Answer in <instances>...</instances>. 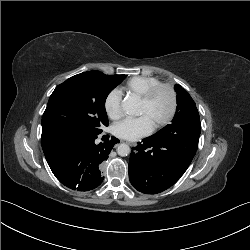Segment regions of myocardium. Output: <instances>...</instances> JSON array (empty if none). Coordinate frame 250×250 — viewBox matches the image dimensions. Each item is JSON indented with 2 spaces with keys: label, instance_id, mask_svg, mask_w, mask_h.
Returning a JSON list of instances; mask_svg holds the SVG:
<instances>
[{
  "label": "myocardium",
  "instance_id": "1",
  "mask_svg": "<svg viewBox=\"0 0 250 250\" xmlns=\"http://www.w3.org/2000/svg\"><path fill=\"white\" fill-rule=\"evenodd\" d=\"M166 91L170 98V109L167 116L153 125L155 130L161 129L169 125L174 119L177 108H178V98L177 93L173 86L165 83H160L152 88H150L146 93L140 97V101L144 104H149L153 98L160 92Z\"/></svg>",
  "mask_w": 250,
  "mask_h": 250
}]
</instances>
